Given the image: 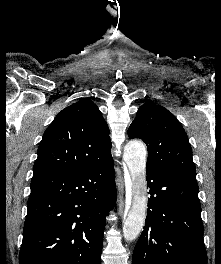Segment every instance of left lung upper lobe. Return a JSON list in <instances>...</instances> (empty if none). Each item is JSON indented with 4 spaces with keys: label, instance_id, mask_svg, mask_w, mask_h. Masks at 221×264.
<instances>
[{
    "label": "left lung upper lobe",
    "instance_id": "obj_1",
    "mask_svg": "<svg viewBox=\"0 0 221 264\" xmlns=\"http://www.w3.org/2000/svg\"><path fill=\"white\" fill-rule=\"evenodd\" d=\"M129 138L142 139L148 149L146 169L196 181L192 149L183 127L166 108L146 102L128 129Z\"/></svg>",
    "mask_w": 221,
    "mask_h": 264
}]
</instances>
